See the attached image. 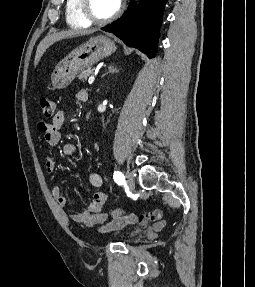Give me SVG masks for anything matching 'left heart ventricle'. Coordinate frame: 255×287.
<instances>
[{"label": "left heart ventricle", "instance_id": "b2bd125f", "mask_svg": "<svg viewBox=\"0 0 255 287\" xmlns=\"http://www.w3.org/2000/svg\"><path fill=\"white\" fill-rule=\"evenodd\" d=\"M96 33H123V32H96ZM95 39H125V38H95ZM90 48H132V47H90Z\"/></svg>", "mask_w": 255, "mask_h": 287}]
</instances>
